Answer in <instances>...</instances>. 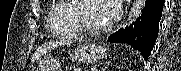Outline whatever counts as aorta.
Masks as SVG:
<instances>
[{"instance_id":"762f6f07","label":"aorta","mask_w":181,"mask_h":71,"mask_svg":"<svg viewBox=\"0 0 181 71\" xmlns=\"http://www.w3.org/2000/svg\"><path fill=\"white\" fill-rule=\"evenodd\" d=\"M145 6V0H134L130 7L126 19L124 21V27L131 25L142 14V10Z\"/></svg>"}]
</instances>
